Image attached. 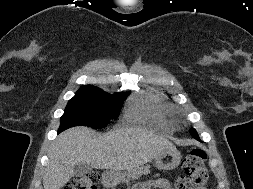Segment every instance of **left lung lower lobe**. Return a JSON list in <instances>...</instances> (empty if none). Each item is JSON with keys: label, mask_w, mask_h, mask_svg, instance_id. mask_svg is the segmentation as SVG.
Masks as SVG:
<instances>
[{"label": "left lung lower lobe", "mask_w": 253, "mask_h": 189, "mask_svg": "<svg viewBox=\"0 0 253 189\" xmlns=\"http://www.w3.org/2000/svg\"><path fill=\"white\" fill-rule=\"evenodd\" d=\"M193 138H195L196 140H199L200 141V138H199V136H198V134H193V135H191Z\"/></svg>", "instance_id": "left-lung-lower-lobe-1"}]
</instances>
